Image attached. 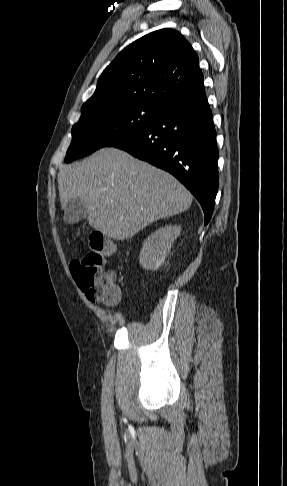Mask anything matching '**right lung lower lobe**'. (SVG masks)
<instances>
[{
	"label": "right lung lower lobe",
	"mask_w": 287,
	"mask_h": 486,
	"mask_svg": "<svg viewBox=\"0 0 287 486\" xmlns=\"http://www.w3.org/2000/svg\"><path fill=\"white\" fill-rule=\"evenodd\" d=\"M113 147L174 175L199 201L209 222L218 191V150L205 89L170 105L140 134Z\"/></svg>",
	"instance_id": "98d812e1"
}]
</instances>
